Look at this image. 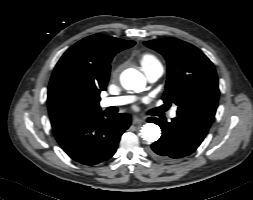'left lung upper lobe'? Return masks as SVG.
Returning <instances> with one entry per match:
<instances>
[{"label": "left lung upper lobe", "mask_w": 253, "mask_h": 200, "mask_svg": "<svg viewBox=\"0 0 253 200\" xmlns=\"http://www.w3.org/2000/svg\"><path fill=\"white\" fill-rule=\"evenodd\" d=\"M168 64L166 104L175 103L178 114H192L214 120L218 106V78L212 62L195 46L176 38L146 41Z\"/></svg>", "instance_id": "left-lung-upper-lobe-1"}]
</instances>
